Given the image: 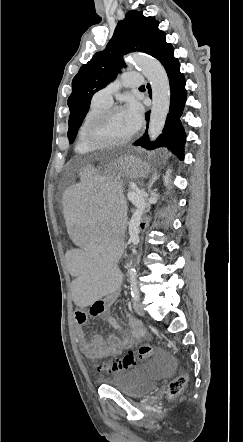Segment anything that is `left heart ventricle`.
Returning a JSON list of instances; mask_svg holds the SVG:
<instances>
[{
	"label": "left heart ventricle",
	"mask_w": 243,
	"mask_h": 442,
	"mask_svg": "<svg viewBox=\"0 0 243 442\" xmlns=\"http://www.w3.org/2000/svg\"><path fill=\"white\" fill-rule=\"evenodd\" d=\"M134 133L124 110L113 113L110 118L96 130L97 137L102 141H117L125 139Z\"/></svg>",
	"instance_id": "1"
}]
</instances>
